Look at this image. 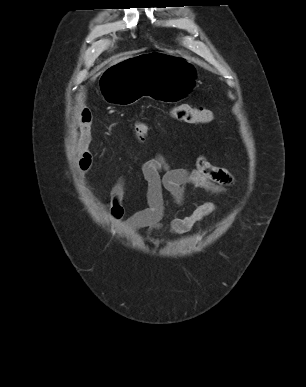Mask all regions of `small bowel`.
Segmentation results:
<instances>
[{
    "instance_id": "obj_1",
    "label": "small bowel",
    "mask_w": 306,
    "mask_h": 387,
    "mask_svg": "<svg viewBox=\"0 0 306 387\" xmlns=\"http://www.w3.org/2000/svg\"><path fill=\"white\" fill-rule=\"evenodd\" d=\"M91 136V114L84 110L80 119L77 167L81 173L87 172L93 162L89 150ZM142 175L147 183V207L136 211L124 220L123 199L126 192V179L119 177L110 190L109 214L114 222H122L128 231L148 229L159 230L165 216L166 191L173 203L181 207L185 201L187 185L203 189L213 195L222 196L234 182L233 175L225 168L213 165L206 156L200 155L193 168L170 167L166 157L157 153L142 164ZM99 206V204L97 203ZM218 205L208 201L198 205L189 215L170 221L169 229L174 234L189 232L196 223L216 213Z\"/></svg>"
}]
</instances>
